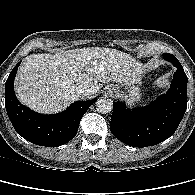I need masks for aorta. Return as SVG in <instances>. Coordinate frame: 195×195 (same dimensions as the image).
Segmentation results:
<instances>
[{
    "mask_svg": "<svg viewBox=\"0 0 195 195\" xmlns=\"http://www.w3.org/2000/svg\"><path fill=\"white\" fill-rule=\"evenodd\" d=\"M96 109L102 114L110 113L113 109V102L111 99L101 98L96 102Z\"/></svg>",
    "mask_w": 195,
    "mask_h": 195,
    "instance_id": "obj_1",
    "label": "aorta"
}]
</instances>
